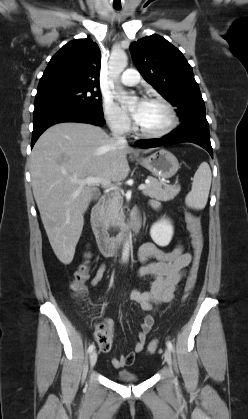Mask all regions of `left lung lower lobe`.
<instances>
[{"label":"left lung lower lobe","mask_w":248,"mask_h":419,"mask_svg":"<svg viewBox=\"0 0 248 419\" xmlns=\"http://www.w3.org/2000/svg\"><path fill=\"white\" fill-rule=\"evenodd\" d=\"M182 142L195 143L206 149L211 157H213L206 114L191 116L185 121H182L181 125L170 134L159 139L137 141L136 145L141 148H152Z\"/></svg>","instance_id":"0a47b994"}]
</instances>
